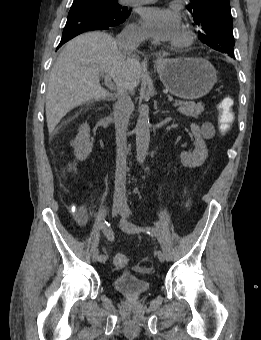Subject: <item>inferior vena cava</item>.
I'll list each match as a JSON object with an SVG mask.
<instances>
[{
  "label": "inferior vena cava",
  "mask_w": 261,
  "mask_h": 340,
  "mask_svg": "<svg viewBox=\"0 0 261 340\" xmlns=\"http://www.w3.org/2000/svg\"><path fill=\"white\" fill-rule=\"evenodd\" d=\"M144 40V35L134 28H126L116 37L118 48L124 53H132ZM133 103L130 90L120 86L117 92V102L113 116L116 129V171H115V199H125L126 195V158H127V130Z\"/></svg>",
  "instance_id": "obj_1"
}]
</instances>
